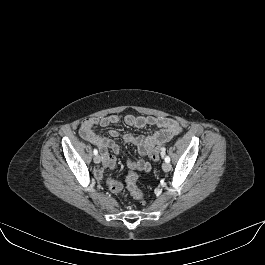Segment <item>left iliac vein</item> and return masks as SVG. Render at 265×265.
Returning <instances> with one entry per match:
<instances>
[{"instance_id":"obj_1","label":"left iliac vein","mask_w":265,"mask_h":265,"mask_svg":"<svg viewBox=\"0 0 265 265\" xmlns=\"http://www.w3.org/2000/svg\"><path fill=\"white\" fill-rule=\"evenodd\" d=\"M162 169H163L165 172L170 171V169H171V164L168 163V162H164V163L162 164Z\"/></svg>"}]
</instances>
